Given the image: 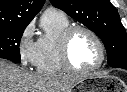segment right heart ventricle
<instances>
[{
  "instance_id": "e07e8e85",
  "label": "right heart ventricle",
  "mask_w": 127,
  "mask_h": 92,
  "mask_svg": "<svg viewBox=\"0 0 127 92\" xmlns=\"http://www.w3.org/2000/svg\"><path fill=\"white\" fill-rule=\"evenodd\" d=\"M41 26L43 32L36 42L35 69L45 75L64 73L59 46L62 34L71 23L62 12L48 10L42 17Z\"/></svg>"
}]
</instances>
